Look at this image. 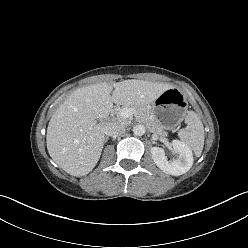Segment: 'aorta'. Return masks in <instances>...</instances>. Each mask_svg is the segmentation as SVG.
Here are the masks:
<instances>
[{
  "instance_id": "1",
  "label": "aorta",
  "mask_w": 248,
  "mask_h": 248,
  "mask_svg": "<svg viewBox=\"0 0 248 248\" xmlns=\"http://www.w3.org/2000/svg\"><path fill=\"white\" fill-rule=\"evenodd\" d=\"M146 132V128L144 125L138 124L133 127V133L136 136H142Z\"/></svg>"
}]
</instances>
